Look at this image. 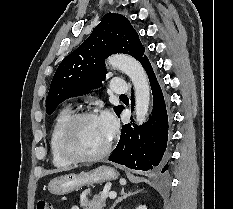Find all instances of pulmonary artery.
Here are the masks:
<instances>
[{
    "instance_id": "1",
    "label": "pulmonary artery",
    "mask_w": 233,
    "mask_h": 209,
    "mask_svg": "<svg viewBox=\"0 0 233 209\" xmlns=\"http://www.w3.org/2000/svg\"><path fill=\"white\" fill-rule=\"evenodd\" d=\"M111 89L117 94H124L128 91L127 84L119 77H113L111 80Z\"/></svg>"
}]
</instances>
